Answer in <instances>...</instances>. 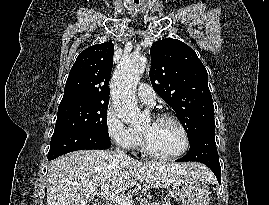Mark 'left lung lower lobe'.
I'll return each mask as SVG.
<instances>
[{"mask_svg": "<svg viewBox=\"0 0 269 205\" xmlns=\"http://www.w3.org/2000/svg\"><path fill=\"white\" fill-rule=\"evenodd\" d=\"M214 135L215 129L208 128L202 130L190 141L191 147L189 152L184 157L177 159V161H197L205 164L213 171L220 183L221 168Z\"/></svg>", "mask_w": 269, "mask_h": 205, "instance_id": "0a47b994", "label": "left lung lower lobe"}]
</instances>
